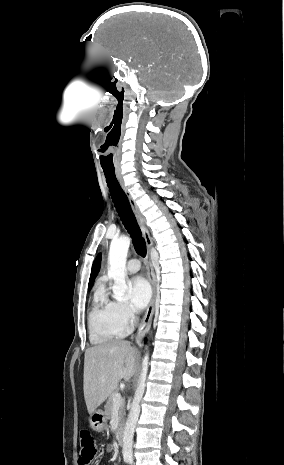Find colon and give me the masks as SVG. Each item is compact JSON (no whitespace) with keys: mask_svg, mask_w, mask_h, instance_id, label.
<instances>
[{"mask_svg":"<svg viewBox=\"0 0 284 465\" xmlns=\"http://www.w3.org/2000/svg\"><path fill=\"white\" fill-rule=\"evenodd\" d=\"M79 465H89L95 455V440L90 431L81 430Z\"/></svg>","mask_w":284,"mask_h":465,"instance_id":"colon-1","label":"colon"}]
</instances>
